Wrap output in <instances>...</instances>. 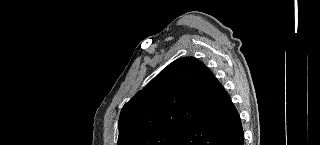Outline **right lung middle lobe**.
Segmentation results:
<instances>
[{
    "label": "right lung middle lobe",
    "mask_w": 320,
    "mask_h": 145,
    "mask_svg": "<svg viewBox=\"0 0 320 145\" xmlns=\"http://www.w3.org/2000/svg\"><path fill=\"white\" fill-rule=\"evenodd\" d=\"M182 130L176 128L153 132L135 141L133 145H168Z\"/></svg>",
    "instance_id": "1"
}]
</instances>
